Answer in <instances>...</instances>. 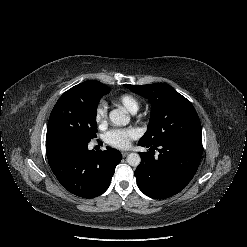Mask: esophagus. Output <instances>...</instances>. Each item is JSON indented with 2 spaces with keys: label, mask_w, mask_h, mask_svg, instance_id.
<instances>
[{
  "label": "esophagus",
  "mask_w": 247,
  "mask_h": 247,
  "mask_svg": "<svg viewBox=\"0 0 247 247\" xmlns=\"http://www.w3.org/2000/svg\"><path fill=\"white\" fill-rule=\"evenodd\" d=\"M121 153H122V156H123V157H126V156L129 154L128 151H122Z\"/></svg>",
  "instance_id": "esophagus-1"
}]
</instances>
